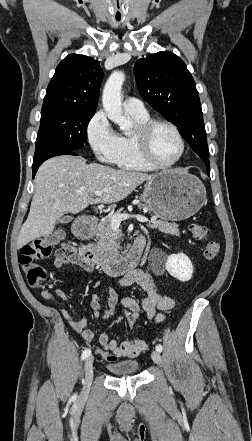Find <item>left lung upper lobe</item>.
<instances>
[{"label": "left lung upper lobe", "instance_id": "1", "mask_svg": "<svg viewBox=\"0 0 252 441\" xmlns=\"http://www.w3.org/2000/svg\"><path fill=\"white\" fill-rule=\"evenodd\" d=\"M134 72L143 99L175 124L194 152L210 166L199 95L185 63L174 53L163 51L139 59Z\"/></svg>", "mask_w": 252, "mask_h": 441}]
</instances>
